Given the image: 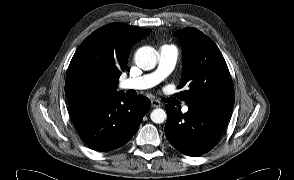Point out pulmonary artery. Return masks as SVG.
Returning <instances> with one entry per match:
<instances>
[{"label":"pulmonary artery","instance_id":"pulmonary-artery-1","mask_svg":"<svg viewBox=\"0 0 294 180\" xmlns=\"http://www.w3.org/2000/svg\"><path fill=\"white\" fill-rule=\"evenodd\" d=\"M177 49L172 45H164L159 50V62L157 69L140 77L124 80L120 87L123 90H144L151 88L164 80L174 69L177 60ZM188 106L182 108L187 112Z\"/></svg>","mask_w":294,"mask_h":180}]
</instances>
